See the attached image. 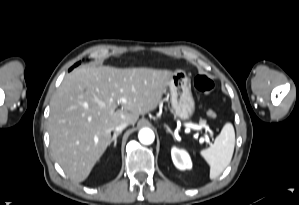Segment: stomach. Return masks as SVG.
Wrapping results in <instances>:
<instances>
[{"mask_svg":"<svg viewBox=\"0 0 299 205\" xmlns=\"http://www.w3.org/2000/svg\"><path fill=\"white\" fill-rule=\"evenodd\" d=\"M171 105L176 117L187 120L195 111V101L185 71L176 70L168 83Z\"/></svg>","mask_w":299,"mask_h":205,"instance_id":"stomach-1","label":"stomach"}]
</instances>
